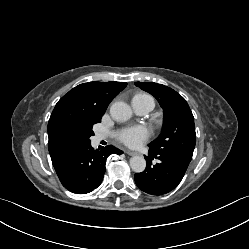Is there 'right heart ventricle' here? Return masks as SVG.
I'll list each match as a JSON object with an SVG mask.
<instances>
[{
  "label": "right heart ventricle",
  "instance_id": "1",
  "mask_svg": "<svg viewBox=\"0 0 249 249\" xmlns=\"http://www.w3.org/2000/svg\"><path fill=\"white\" fill-rule=\"evenodd\" d=\"M144 98H152L151 96L147 95V94H137L133 97V100H140V99H144Z\"/></svg>",
  "mask_w": 249,
  "mask_h": 249
}]
</instances>
